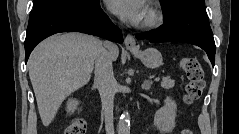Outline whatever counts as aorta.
Masks as SVG:
<instances>
[{"label":"aorta","instance_id":"1","mask_svg":"<svg viewBox=\"0 0 239 134\" xmlns=\"http://www.w3.org/2000/svg\"><path fill=\"white\" fill-rule=\"evenodd\" d=\"M118 134H130V114L125 111L118 122Z\"/></svg>","mask_w":239,"mask_h":134}]
</instances>
